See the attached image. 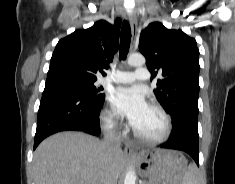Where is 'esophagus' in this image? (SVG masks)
Masks as SVG:
<instances>
[{"mask_svg":"<svg viewBox=\"0 0 235 184\" xmlns=\"http://www.w3.org/2000/svg\"><path fill=\"white\" fill-rule=\"evenodd\" d=\"M131 33H132V42H131V51L133 52L136 44V37L138 33L137 19L134 14H132L130 19ZM125 156H135L136 152L131 144H125L124 147Z\"/></svg>","mask_w":235,"mask_h":184,"instance_id":"34e87169","label":"esophagus"}]
</instances>
